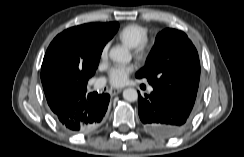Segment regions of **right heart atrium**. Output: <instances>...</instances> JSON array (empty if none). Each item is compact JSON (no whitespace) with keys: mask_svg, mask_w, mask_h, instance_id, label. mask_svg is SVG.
<instances>
[{"mask_svg":"<svg viewBox=\"0 0 244 157\" xmlns=\"http://www.w3.org/2000/svg\"><path fill=\"white\" fill-rule=\"evenodd\" d=\"M108 48H109V45L106 44V45H104L103 48L101 49L100 57H99V60H100V64H101V65L106 64V62H107V60H108Z\"/></svg>","mask_w":244,"mask_h":157,"instance_id":"d8ad5b80","label":"right heart atrium"}]
</instances>
